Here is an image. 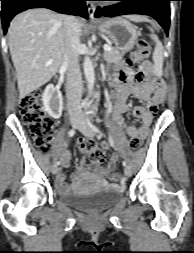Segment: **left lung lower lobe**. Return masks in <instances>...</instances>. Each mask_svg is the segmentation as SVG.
I'll return each instance as SVG.
<instances>
[{
    "label": "left lung lower lobe",
    "instance_id": "1",
    "mask_svg": "<svg viewBox=\"0 0 194 253\" xmlns=\"http://www.w3.org/2000/svg\"><path fill=\"white\" fill-rule=\"evenodd\" d=\"M120 3L104 8H98L95 17H113L125 14H143L156 19L169 32L171 0H115Z\"/></svg>",
    "mask_w": 194,
    "mask_h": 253
}]
</instances>
